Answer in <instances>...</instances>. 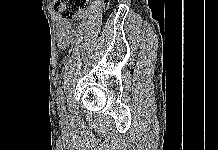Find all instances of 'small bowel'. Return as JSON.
Segmentation results:
<instances>
[{
    "mask_svg": "<svg viewBox=\"0 0 218 150\" xmlns=\"http://www.w3.org/2000/svg\"><path fill=\"white\" fill-rule=\"evenodd\" d=\"M57 41L60 47H68L75 41V32L72 30L70 23L57 16Z\"/></svg>",
    "mask_w": 218,
    "mask_h": 150,
    "instance_id": "1",
    "label": "small bowel"
}]
</instances>
